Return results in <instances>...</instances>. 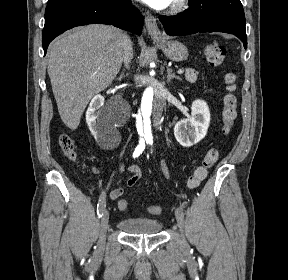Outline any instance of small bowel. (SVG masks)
Masks as SVG:
<instances>
[{
    "mask_svg": "<svg viewBox=\"0 0 288 280\" xmlns=\"http://www.w3.org/2000/svg\"><path fill=\"white\" fill-rule=\"evenodd\" d=\"M126 164H127V169L131 173V175L127 177L126 179L121 180L110 192L111 200L117 201L118 207H119V203L122 200H125V199H122L125 189L134 186L142 177L141 169L137 164L132 163L129 158L126 160ZM162 171L166 177L170 176L169 166H168V163L165 161L162 163ZM119 209L121 211H125L124 209L120 207Z\"/></svg>",
    "mask_w": 288,
    "mask_h": 280,
    "instance_id": "small-bowel-1",
    "label": "small bowel"
}]
</instances>
